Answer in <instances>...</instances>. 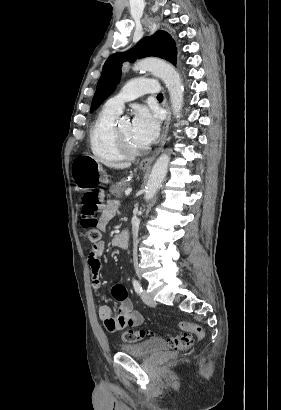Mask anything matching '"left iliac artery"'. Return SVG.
Here are the masks:
<instances>
[{
  "label": "left iliac artery",
  "instance_id": "left-iliac-artery-1",
  "mask_svg": "<svg viewBox=\"0 0 281 410\" xmlns=\"http://www.w3.org/2000/svg\"><path fill=\"white\" fill-rule=\"evenodd\" d=\"M133 287H134L137 294L140 295L142 293V291H143L142 286L140 285V283L136 279H133Z\"/></svg>",
  "mask_w": 281,
  "mask_h": 410
}]
</instances>
